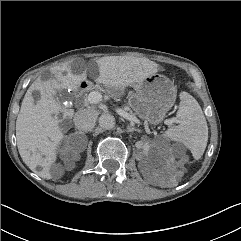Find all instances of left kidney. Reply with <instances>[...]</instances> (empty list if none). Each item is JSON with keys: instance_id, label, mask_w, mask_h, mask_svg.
<instances>
[{"instance_id": "left-kidney-1", "label": "left kidney", "mask_w": 241, "mask_h": 241, "mask_svg": "<svg viewBox=\"0 0 241 241\" xmlns=\"http://www.w3.org/2000/svg\"><path fill=\"white\" fill-rule=\"evenodd\" d=\"M153 147H156V145L155 144H149L148 146H147V151H148V153H150L152 150H151V148H153Z\"/></svg>"}]
</instances>
